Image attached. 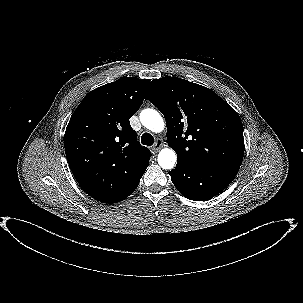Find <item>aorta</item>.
I'll list each match as a JSON object with an SVG mask.
<instances>
[{
    "instance_id": "obj_1",
    "label": "aorta",
    "mask_w": 303,
    "mask_h": 303,
    "mask_svg": "<svg viewBox=\"0 0 303 303\" xmlns=\"http://www.w3.org/2000/svg\"><path fill=\"white\" fill-rule=\"evenodd\" d=\"M140 121L144 127L152 132L160 133L164 130V120L154 109H144L140 113ZM158 164L163 169H172L177 161L176 153L171 148H164L158 154Z\"/></svg>"
}]
</instances>
